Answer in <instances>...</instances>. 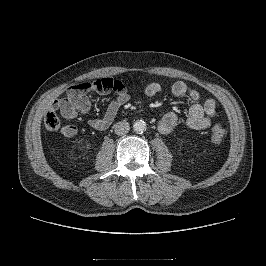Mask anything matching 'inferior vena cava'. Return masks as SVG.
<instances>
[{
    "label": "inferior vena cava",
    "instance_id": "obj_1",
    "mask_svg": "<svg viewBox=\"0 0 266 266\" xmlns=\"http://www.w3.org/2000/svg\"><path fill=\"white\" fill-rule=\"evenodd\" d=\"M130 129L129 123L126 121H119L114 125V131L117 135H124Z\"/></svg>",
    "mask_w": 266,
    "mask_h": 266
}]
</instances>
